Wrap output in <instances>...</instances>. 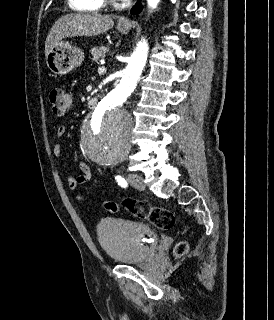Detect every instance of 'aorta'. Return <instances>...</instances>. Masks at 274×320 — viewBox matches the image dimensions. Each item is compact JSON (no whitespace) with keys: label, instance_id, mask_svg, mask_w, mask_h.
I'll return each instance as SVG.
<instances>
[{"label":"aorta","instance_id":"762f6f07","mask_svg":"<svg viewBox=\"0 0 274 320\" xmlns=\"http://www.w3.org/2000/svg\"><path fill=\"white\" fill-rule=\"evenodd\" d=\"M155 9L160 0H147ZM147 40L138 42L128 65L116 87L99 102L81 131L84 154L96 163H114L123 160L131 146L132 121L124 108L127 99L136 88L146 64Z\"/></svg>","mask_w":274,"mask_h":320}]
</instances>
